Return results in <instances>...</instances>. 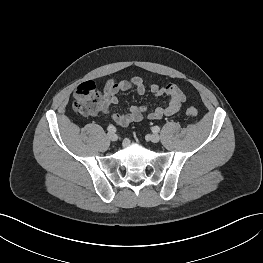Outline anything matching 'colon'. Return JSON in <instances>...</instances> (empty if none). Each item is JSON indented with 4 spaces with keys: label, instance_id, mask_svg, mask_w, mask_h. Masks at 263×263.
I'll return each instance as SVG.
<instances>
[{
    "label": "colon",
    "instance_id": "1",
    "mask_svg": "<svg viewBox=\"0 0 263 263\" xmlns=\"http://www.w3.org/2000/svg\"><path fill=\"white\" fill-rule=\"evenodd\" d=\"M99 100V93L96 85L92 81H86L79 84L74 93L72 108L75 112L81 114H93L96 111ZM186 114L194 118L198 111L194 107H189Z\"/></svg>",
    "mask_w": 263,
    "mask_h": 263
}]
</instances>
